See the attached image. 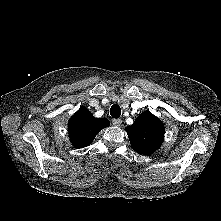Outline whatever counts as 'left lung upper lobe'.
<instances>
[{
  "label": "left lung upper lobe",
  "instance_id": "1",
  "mask_svg": "<svg viewBox=\"0 0 221 221\" xmlns=\"http://www.w3.org/2000/svg\"><path fill=\"white\" fill-rule=\"evenodd\" d=\"M133 149L139 154L150 155L163 143L165 127L151 112H143L126 128Z\"/></svg>",
  "mask_w": 221,
  "mask_h": 221
}]
</instances>
